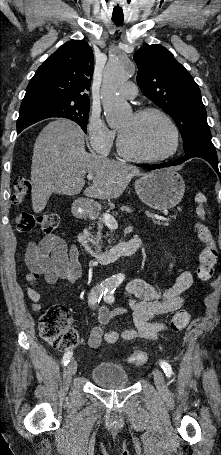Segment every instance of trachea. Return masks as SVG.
<instances>
[{
  "instance_id": "1",
  "label": "trachea",
  "mask_w": 221,
  "mask_h": 455,
  "mask_svg": "<svg viewBox=\"0 0 221 455\" xmlns=\"http://www.w3.org/2000/svg\"><path fill=\"white\" fill-rule=\"evenodd\" d=\"M112 21L115 23V24H122L124 19H119V18H112Z\"/></svg>"
}]
</instances>
